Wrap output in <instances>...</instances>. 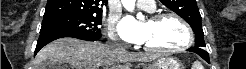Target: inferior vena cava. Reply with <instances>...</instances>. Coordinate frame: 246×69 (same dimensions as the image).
I'll return each mask as SVG.
<instances>
[{
	"label": "inferior vena cava",
	"mask_w": 246,
	"mask_h": 69,
	"mask_svg": "<svg viewBox=\"0 0 246 69\" xmlns=\"http://www.w3.org/2000/svg\"><path fill=\"white\" fill-rule=\"evenodd\" d=\"M112 47L118 48V49H122V47L118 46V45H112Z\"/></svg>",
	"instance_id": "obj_1"
}]
</instances>
